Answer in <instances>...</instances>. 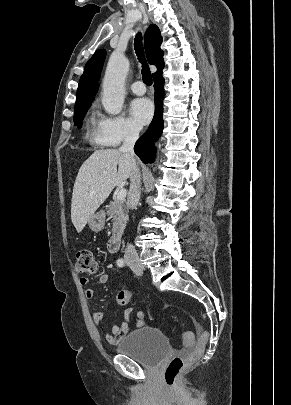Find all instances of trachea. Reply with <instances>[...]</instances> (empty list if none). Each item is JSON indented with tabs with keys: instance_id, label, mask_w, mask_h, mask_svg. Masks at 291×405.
<instances>
[{
	"instance_id": "3493384b",
	"label": "trachea",
	"mask_w": 291,
	"mask_h": 405,
	"mask_svg": "<svg viewBox=\"0 0 291 405\" xmlns=\"http://www.w3.org/2000/svg\"><path fill=\"white\" fill-rule=\"evenodd\" d=\"M134 47H135L136 55L138 56L139 61L143 65V68H142V71H141L143 81L148 86H151L152 85L151 71H150V68H149L148 64L146 63V59H145V56H144V49H143V45H142V35H141V33H137V35L135 37Z\"/></svg>"
}]
</instances>
